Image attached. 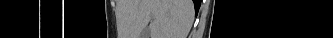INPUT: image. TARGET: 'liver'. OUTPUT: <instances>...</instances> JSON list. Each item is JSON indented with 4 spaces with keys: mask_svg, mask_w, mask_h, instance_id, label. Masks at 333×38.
I'll return each instance as SVG.
<instances>
[{
    "mask_svg": "<svg viewBox=\"0 0 333 38\" xmlns=\"http://www.w3.org/2000/svg\"><path fill=\"white\" fill-rule=\"evenodd\" d=\"M137 35L150 22L151 38H186L193 19L191 0H138Z\"/></svg>",
    "mask_w": 333,
    "mask_h": 38,
    "instance_id": "liver-1",
    "label": "liver"
}]
</instances>
